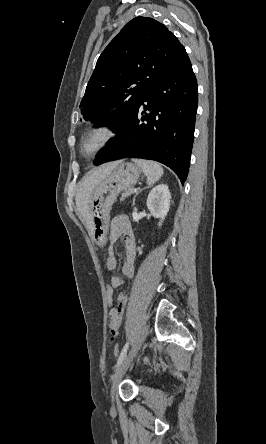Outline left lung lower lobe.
<instances>
[{
  "instance_id": "obj_1",
  "label": "left lung lower lobe",
  "mask_w": 266,
  "mask_h": 444,
  "mask_svg": "<svg viewBox=\"0 0 266 444\" xmlns=\"http://www.w3.org/2000/svg\"><path fill=\"white\" fill-rule=\"evenodd\" d=\"M197 104V81L186 54L146 93L118 128L120 134L96 155L94 165L121 158L154 160L170 167L183 184L189 169Z\"/></svg>"
}]
</instances>
